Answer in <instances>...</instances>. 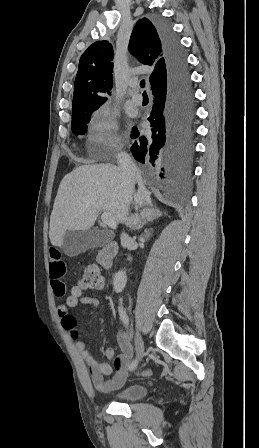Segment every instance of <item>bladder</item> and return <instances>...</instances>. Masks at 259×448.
Wrapping results in <instances>:
<instances>
[{"instance_id":"1","label":"bladder","mask_w":259,"mask_h":448,"mask_svg":"<svg viewBox=\"0 0 259 448\" xmlns=\"http://www.w3.org/2000/svg\"><path fill=\"white\" fill-rule=\"evenodd\" d=\"M147 392L148 389L145 385L134 384L113 393L112 397L116 400L132 402L141 400L147 395Z\"/></svg>"}]
</instances>
